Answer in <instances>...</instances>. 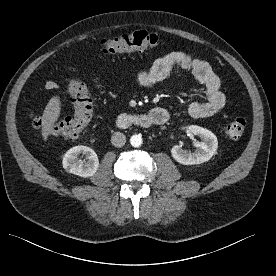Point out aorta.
I'll return each instance as SVG.
<instances>
[{"mask_svg": "<svg viewBox=\"0 0 276 276\" xmlns=\"http://www.w3.org/2000/svg\"><path fill=\"white\" fill-rule=\"evenodd\" d=\"M130 143L133 147H140L141 144L143 143L142 137L140 135H133L130 138Z\"/></svg>", "mask_w": 276, "mask_h": 276, "instance_id": "762f6f07", "label": "aorta"}]
</instances>
